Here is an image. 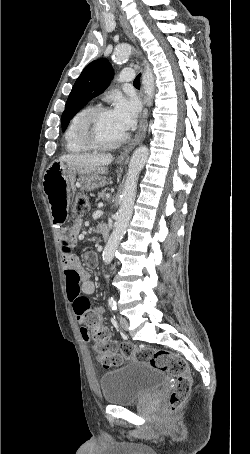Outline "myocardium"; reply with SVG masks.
<instances>
[{
    "label": "myocardium",
    "mask_w": 250,
    "mask_h": 454,
    "mask_svg": "<svg viewBox=\"0 0 250 454\" xmlns=\"http://www.w3.org/2000/svg\"><path fill=\"white\" fill-rule=\"evenodd\" d=\"M108 111L111 110L106 106L93 107L81 118L77 129V137L81 144L88 147L89 149L110 150L118 147L127 139L128 136L127 134H125L121 138L113 142L103 143L95 137L93 132V124L101 114Z\"/></svg>",
    "instance_id": "f54148a6"
}]
</instances>
